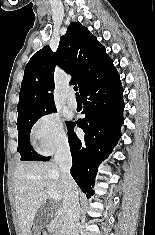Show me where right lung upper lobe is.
<instances>
[{
  "mask_svg": "<svg viewBox=\"0 0 155 235\" xmlns=\"http://www.w3.org/2000/svg\"><path fill=\"white\" fill-rule=\"evenodd\" d=\"M72 75L79 90L115 70L105 47L79 22H72L60 38L56 53L49 46L36 52L27 63L21 84L18 116L55 109L54 67Z\"/></svg>",
  "mask_w": 155,
  "mask_h": 235,
  "instance_id": "1",
  "label": "right lung upper lobe"
}]
</instances>
